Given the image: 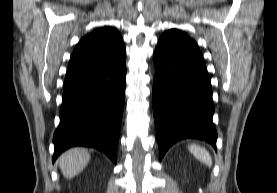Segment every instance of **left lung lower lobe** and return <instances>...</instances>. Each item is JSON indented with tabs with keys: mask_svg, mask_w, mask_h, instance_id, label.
<instances>
[{
	"mask_svg": "<svg viewBox=\"0 0 277 193\" xmlns=\"http://www.w3.org/2000/svg\"><path fill=\"white\" fill-rule=\"evenodd\" d=\"M154 65L152 102L160 159L186 138L205 140L216 148L212 87L200 50L162 36Z\"/></svg>",
	"mask_w": 277,
	"mask_h": 193,
	"instance_id": "0a47b994",
	"label": "left lung lower lobe"
}]
</instances>
